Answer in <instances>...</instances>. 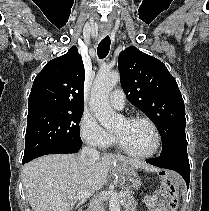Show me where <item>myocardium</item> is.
I'll list each match as a JSON object with an SVG mask.
<instances>
[{
  "mask_svg": "<svg viewBox=\"0 0 209 211\" xmlns=\"http://www.w3.org/2000/svg\"><path fill=\"white\" fill-rule=\"evenodd\" d=\"M126 121H128V122L142 121V122L147 123L151 127V129L154 133V138H155L154 146L149 152L142 153V154L133 153V152L127 150L121 143L118 136L114 134V140H115L117 149L121 153H123L131 158L138 159V160L149 159V158L155 156L158 153L160 146H161V134H160V131H159L157 125L155 124V122L152 119H150L149 117H146L143 115L130 116L126 119Z\"/></svg>",
  "mask_w": 209,
  "mask_h": 211,
  "instance_id": "1",
  "label": "myocardium"
}]
</instances>
